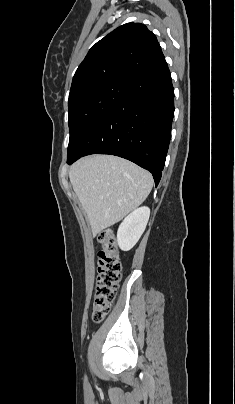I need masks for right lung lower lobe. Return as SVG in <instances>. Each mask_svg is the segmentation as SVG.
I'll list each match as a JSON object with an SVG mask.
<instances>
[{
    "instance_id": "98d812e1",
    "label": "right lung lower lobe",
    "mask_w": 235,
    "mask_h": 404,
    "mask_svg": "<svg viewBox=\"0 0 235 404\" xmlns=\"http://www.w3.org/2000/svg\"><path fill=\"white\" fill-rule=\"evenodd\" d=\"M174 116V90L168 65L126 82L119 101L67 156L72 164L89 154H111L149 170L157 186L162 175Z\"/></svg>"
}]
</instances>
